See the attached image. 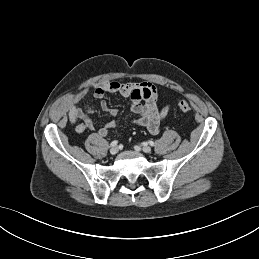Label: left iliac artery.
<instances>
[{
  "instance_id": "1",
  "label": "left iliac artery",
  "mask_w": 259,
  "mask_h": 259,
  "mask_svg": "<svg viewBox=\"0 0 259 259\" xmlns=\"http://www.w3.org/2000/svg\"><path fill=\"white\" fill-rule=\"evenodd\" d=\"M149 144H150L151 146H154V142H153V141H149Z\"/></svg>"
}]
</instances>
